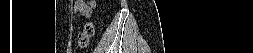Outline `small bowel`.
Here are the masks:
<instances>
[{
  "label": "small bowel",
  "mask_w": 253,
  "mask_h": 53,
  "mask_svg": "<svg viewBox=\"0 0 253 53\" xmlns=\"http://www.w3.org/2000/svg\"><path fill=\"white\" fill-rule=\"evenodd\" d=\"M95 6L94 0H77L74 3L73 12L82 16H89Z\"/></svg>",
  "instance_id": "small-bowel-1"
}]
</instances>
